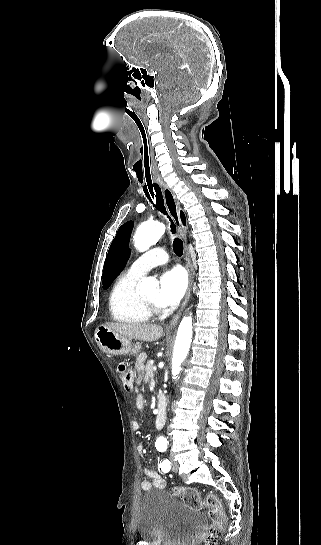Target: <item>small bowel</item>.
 Wrapping results in <instances>:
<instances>
[{
  "label": "small bowel",
  "instance_id": "1",
  "mask_svg": "<svg viewBox=\"0 0 321 545\" xmlns=\"http://www.w3.org/2000/svg\"><path fill=\"white\" fill-rule=\"evenodd\" d=\"M144 405H145V402H144L143 397L140 396V395L137 396V398H136L137 408L139 410H142L144 408ZM132 425H133V428L135 430H138L140 428V423H139L138 420H134ZM137 451H138L140 456H143L144 447L142 445H139L137 447ZM144 473L147 476L148 480H145V481L142 482V484H141L142 490L148 491L151 488L163 489L165 487V485H166L165 480L160 476L159 473H157L156 471L151 470L149 468H145Z\"/></svg>",
  "mask_w": 321,
  "mask_h": 545
}]
</instances>
